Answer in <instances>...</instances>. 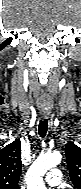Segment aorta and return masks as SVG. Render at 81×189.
Returning a JSON list of instances; mask_svg holds the SVG:
<instances>
[{"label":"aorta","instance_id":"762f6f07","mask_svg":"<svg viewBox=\"0 0 81 189\" xmlns=\"http://www.w3.org/2000/svg\"><path fill=\"white\" fill-rule=\"evenodd\" d=\"M59 152L41 154L30 166L26 175L27 189H46L43 176L61 162Z\"/></svg>","mask_w":81,"mask_h":189}]
</instances>
